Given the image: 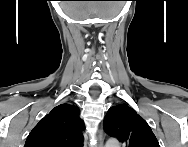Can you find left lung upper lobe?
Wrapping results in <instances>:
<instances>
[{
	"label": "left lung upper lobe",
	"mask_w": 188,
	"mask_h": 147,
	"mask_svg": "<svg viewBox=\"0 0 188 147\" xmlns=\"http://www.w3.org/2000/svg\"><path fill=\"white\" fill-rule=\"evenodd\" d=\"M104 129L124 147H160L147 122L125 104L113 106L108 110L104 118Z\"/></svg>",
	"instance_id": "left-lung-upper-lobe-1"
}]
</instances>
